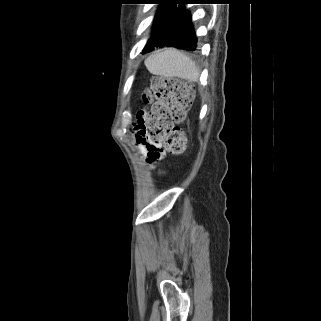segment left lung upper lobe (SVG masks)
<instances>
[{
  "mask_svg": "<svg viewBox=\"0 0 321 321\" xmlns=\"http://www.w3.org/2000/svg\"><path fill=\"white\" fill-rule=\"evenodd\" d=\"M155 3L161 4L160 8L157 10V13L154 17V26L152 30V36L147 42V46L154 43L155 41L160 40L166 30L167 24L177 9V4L181 0H154Z\"/></svg>",
  "mask_w": 321,
  "mask_h": 321,
  "instance_id": "5c2ea615",
  "label": "left lung upper lobe"
}]
</instances>
